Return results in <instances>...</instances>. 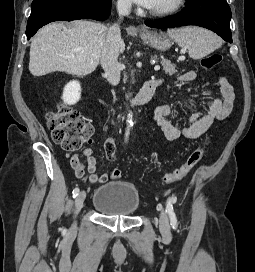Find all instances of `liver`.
Returning a JSON list of instances; mask_svg holds the SVG:
<instances>
[{"label":"liver","mask_w":255,"mask_h":272,"mask_svg":"<svg viewBox=\"0 0 255 272\" xmlns=\"http://www.w3.org/2000/svg\"><path fill=\"white\" fill-rule=\"evenodd\" d=\"M107 31L104 24L87 20L44 26L31 43L30 73L37 77L55 71L72 75L92 73L99 64ZM124 50L125 44L121 40L119 52Z\"/></svg>","instance_id":"obj_1"}]
</instances>
